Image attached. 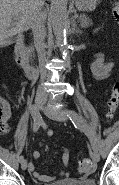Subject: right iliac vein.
I'll list each match as a JSON object with an SVG mask.
<instances>
[{"instance_id": "63e3f726", "label": "right iliac vein", "mask_w": 119, "mask_h": 185, "mask_svg": "<svg viewBox=\"0 0 119 185\" xmlns=\"http://www.w3.org/2000/svg\"><path fill=\"white\" fill-rule=\"evenodd\" d=\"M44 100L43 99H41V98H37L36 99V101H35V105H34V107H35V113H40V111L43 109V107H44ZM39 118H40V121L42 122V118H41V114H40V116H39ZM21 168H22V170H25L26 168H27V160H25V159H23L22 161H21Z\"/></svg>"}]
</instances>
